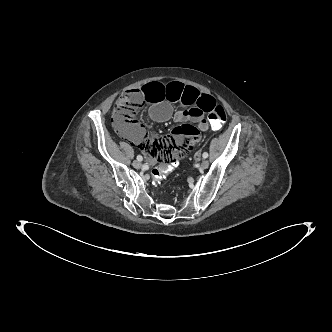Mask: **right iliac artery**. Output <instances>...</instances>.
Returning <instances> with one entry per match:
<instances>
[{"instance_id":"82829eb1","label":"right iliac artery","mask_w":332,"mask_h":332,"mask_svg":"<svg viewBox=\"0 0 332 332\" xmlns=\"http://www.w3.org/2000/svg\"><path fill=\"white\" fill-rule=\"evenodd\" d=\"M137 160H138V161H142V160H143V157H142L141 155H138V156H137Z\"/></svg>"}]
</instances>
